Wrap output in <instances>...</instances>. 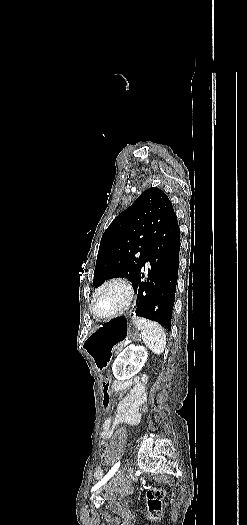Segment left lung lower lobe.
I'll return each mask as SVG.
<instances>
[{"mask_svg":"<svg viewBox=\"0 0 247 525\" xmlns=\"http://www.w3.org/2000/svg\"><path fill=\"white\" fill-rule=\"evenodd\" d=\"M179 250L180 230L174 213L149 244L147 281H143L142 267L133 282L138 296L132 315L154 320L168 330L175 300Z\"/></svg>","mask_w":247,"mask_h":525,"instance_id":"obj_1","label":"left lung lower lobe"}]
</instances>
